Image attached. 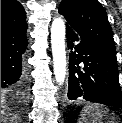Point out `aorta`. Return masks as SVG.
Returning a JSON list of instances; mask_svg holds the SVG:
<instances>
[{
	"label": "aorta",
	"mask_w": 122,
	"mask_h": 123,
	"mask_svg": "<svg viewBox=\"0 0 122 123\" xmlns=\"http://www.w3.org/2000/svg\"><path fill=\"white\" fill-rule=\"evenodd\" d=\"M51 46L55 80L62 85L66 77L65 23L55 18L51 26Z\"/></svg>",
	"instance_id": "aorta-1"
}]
</instances>
